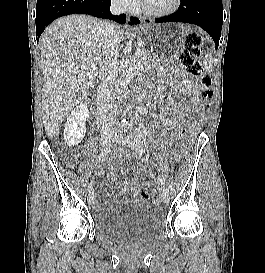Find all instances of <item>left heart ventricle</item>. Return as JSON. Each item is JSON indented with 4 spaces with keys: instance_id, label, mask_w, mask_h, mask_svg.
Masks as SVG:
<instances>
[{
    "instance_id": "1",
    "label": "left heart ventricle",
    "mask_w": 265,
    "mask_h": 273,
    "mask_svg": "<svg viewBox=\"0 0 265 273\" xmlns=\"http://www.w3.org/2000/svg\"><path fill=\"white\" fill-rule=\"evenodd\" d=\"M143 3L149 9L160 11L170 8L174 0H144Z\"/></svg>"
}]
</instances>
